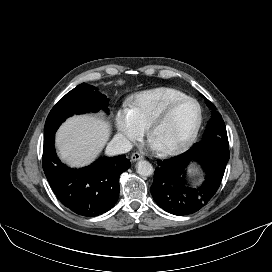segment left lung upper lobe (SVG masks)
Wrapping results in <instances>:
<instances>
[{
	"mask_svg": "<svg viewBox=\"0 0 272 272\" xmlns=\"http://www.w3.org/2000/svg\"><path fill=\"white\" fill-rule=\"evenodd\" d=\"M205 102L213 111L211 114V119L209 120L207 128L204 132V137L200 142L212 143L228 148V137L222 116L219 112L215 111V106L207 98H205Z\"/></svg>",
	"mask_w": 272,
	"mask_h": 272,
	"instance_id": "obj_1",
	"label": "left lung upper lobe"
}]
</instances>
